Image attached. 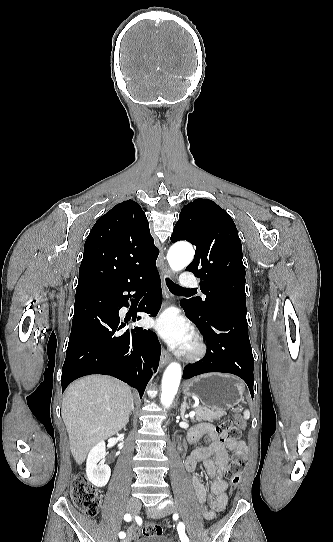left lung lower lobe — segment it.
Wrapping results in <instances>:
<instances>
[{
	"label": "left lung lower lobe",
	"mask_w": 333,
	"mask_h": 542,
	"mask_svg": "<svg viewBox=\"0 0 333 542\" xmlns=\"http://www.w3.org/2000/svg\"><path fill=\"white\" fill-rule=\"evenodd\" d=\"M180 305L185 310L184 300ZM185 313L194 322L186 310ZM195 324L206 338L207 352L202 360L185 367L183 378L208 372L231 373L242 378L253 395L254 358L246 313L234 309L220 310L213 316L209 326Z\"/></svg>",
	"instance_id": "1"
}]
</instances>
